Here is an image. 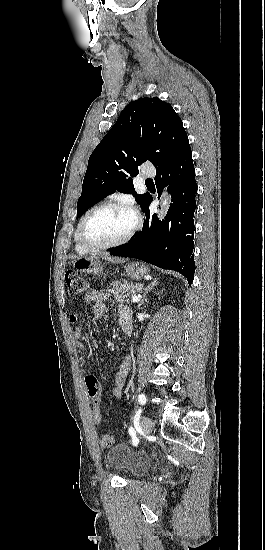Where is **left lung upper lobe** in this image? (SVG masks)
<instances>
[{"instance_id":"5c2ea615","label":"left lung upper lobe","mask_w":265,"mask_h":550,"mask_svg":"<svg viewBox=\"0 0 265 550\" xmlns=\"http://www.w3.org/2000/svg\"><path fill=\"white\" fill-rule=\"evenodd\" d=\"M187 141L182 120L170 104L158 97L128 104L89 158L77 217L116 190L136 196L145 210L151 195H137L131 177L147 160L159 170Z\"/></svg>"}]
</instances>
